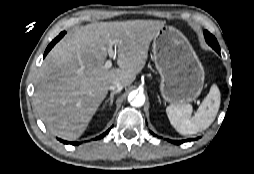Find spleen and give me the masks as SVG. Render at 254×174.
Returning <instances> with one entry per match:
<instances>
[{"instance_id": "3e777b00", "label": "spleen", "mask_w": 254, "mask_h": 174, "mask_svg": "<svg viewBox=\"0 0 254 174\" xmlns=\"http://www.w3.org/2000/svg\"><path fill=\"white\" fill-rule=\"evenodd\" d=\"M221 94L213 84L194 116L190 104L170 105L166 109L171 125L182 135H192L207 129L215 120Z\"/></svg>"}]
</instances>
